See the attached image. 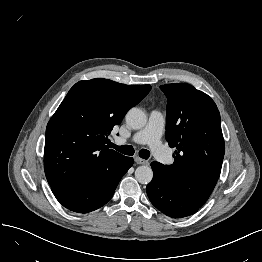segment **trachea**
Returning a JSON list of instances; mask_svg holds the SVG:
<instances>
[{"label":"trachea","instance_id":"3493384b","mask_svg":"<svg viewBox=\"0 0 262 262\" xmlns=\"http://www.w3.org/2000/svg\"><path fill=\"white\" fill-rule=\"evenodd\" d=\"M111 148L116 149L118 152L125 154V155H130L132 156L134 154V148L130 145H122V146H117L114 143L109 142L108 143ZM139 156L143 159H148L150 157V152L146 149H141L139 151Z\"/></svg>","mask_w":262,"mask_h":262}]
</instances>
